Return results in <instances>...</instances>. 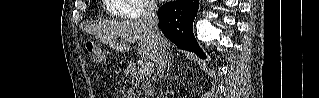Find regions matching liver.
<instances>
[{
  "label": "liver",
  "mask_w": 319,
  "mask_h": 98,
  "mask_svg": "<svg viewBox=\"0 0 319 98\" xmlns=\"http://www.w3.org/2000/svg\"><path fill=\"white\" fill-rule=\"evenodd\" d=\"M86 31L97 35L100 42L109 45V47L128 52L130 46L126 43L116 42L117 38H121L124 42L125 39L131 38L132 40H140L137 48V52L150 60H156L157 54V41L155 37L149 33L142 20H125L122 22L116 21H104L97 24L88 26ZM164 42L167 49H170L171 42L164 37Z\"/></svg>",
  "instance_id": "6515ba94"
}]
</instances>
